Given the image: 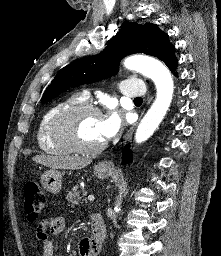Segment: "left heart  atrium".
Listing matches in <instances>:
<instances>
[{"mask_svg": "<svg viewBox=\"0 0 221 256\" xmlns=\"http://www.w3.org/2000/svg\"><path fill=\"white\" fill-rule=\"evenodd\" d=\"M122 126V118L120 114L110 109L108 113L102 117L100 123V133L104 140L114 137Z\"/></svg>", "mask_w": 221, "mask_h": 256, "instance_id": "1", "label": "left heart atrium"}]
</instances>
